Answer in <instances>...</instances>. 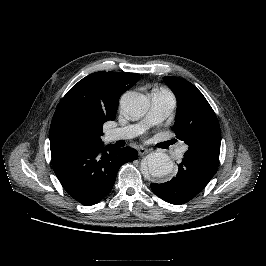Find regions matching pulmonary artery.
<instances>
[{
    "label": "pulmonary artery",
    "mask_w": 266,
    "mask_h": 266,
    "mask_svg": "<svg viewBox=\"0 0 266 266\" xmlns=\"http://www.w3.org/2000/svg\"><path fill=\"white\" fill-rule=\"evenodd\" d=\"M175 106L176 98L168 89H154L151 92V106L146 117L138 124L108 130L106 139L108 141H116L133 138L149 126L166 119L172 113ZM185 150L186 147L182 146L180 148V154Z\"/></svg>",
    "instance_id": "e3ab8cb5"
}]
</instances>
